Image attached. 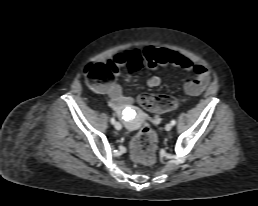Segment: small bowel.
<instances>
[{
  "mask_svg": "<svg viewBox=\"0 0 258 206\" xmlns=\"http://www.w3.org/2000/svg\"><path fill=\"white\" fill-rule=\"evenodd\" d=\"M135 55H138L142 59L143 64L150 69L172 65L186 71L194 72L195 76L184 83V90L188 95H199L210 83L211 74L206 66L193 62L189 58L166 48L146 47L141 52H134L132 54L120 53L115 55L107 63L114 80L108 84L99 86L98 90L107 96L110 106L121 115L126 126L130 129L134 128L142 117L140 114L135 113L134 116L127 118V111L131 109V100L123 93L116 79L120 75V70L129 65ZM160 84L161 78L159 76H152L147 80L149 87H157ZM152 121L159 123L160 117L155 116L152 118Z\"/></svg>",
  "mask_w": 258,
  "mask_h": 206,
  "instance_id": "obj_1",
  "label": "small bowel"
}]
</instances>
